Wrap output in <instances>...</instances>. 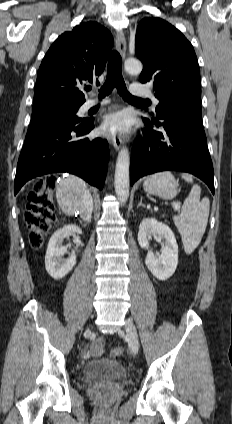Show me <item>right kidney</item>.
<instances>
[{"mask_svg":"<svg viewBox=\"0 0 232 424\" xmlns=\"http://www.w3.org/2000/svg\"><path fill=\"white\" fill-rule=\"evenodd\" d=\"M81 234L82 230L78 226L66 225L58 229L50 238L45 256V267L52 278H63L76 265L75 252H72L67 259L62 258L67 252V248L62 245V241L70 235L80 239L79 235Z\"/></svg>","mask_w":232,"mask_h":424,"instance_id":"obj_1","label":"right kidney"}]
</instances>
